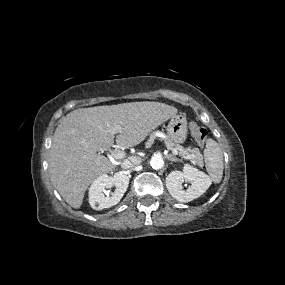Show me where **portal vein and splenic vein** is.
Segmentation results:
<instances>
[{
  "instance_id": "obj_1",
  "label": "portal vein and splenic vein",
  "mask_w": 285,
  "mask_h": 285,
  "mask_svg": "<svg viewBox=\"0 0 285 285\" xmlns=\"http://www.w3.org/2000/svg\"><path fill=\"white\" fill-rule=\"evenodd\" d=\"M120 132V129L118 127H114L112 129H110V133L111 134H116ZM172 153L174 155H178L179 152L177 150H172ZM125 156V153L121 150L115 149L111 151V157L114 159H122Z\"/></svg>"
}]
</instances>
